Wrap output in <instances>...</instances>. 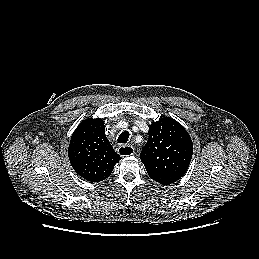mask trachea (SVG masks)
I'll return each instance as SVG.
<instances>
[{
    "instance_id": "trachea-1",
    "label": "trachea",
    "mask_w": 259,
    "mask_h": 259,
    "mask_svg": "<svg viewBox=\"0 0 259 259\" xmlns=\"http://www.w3.org/2000/svg\"><path fill=\"white\" fill-rule=\"evenodd\" d=\"M129 135H130V134H129L128 131H123V132L119 135V137H118V139H117L118 143H121V144L127 143L128 139H129Z\"/></svg>"
}]
</instances>
